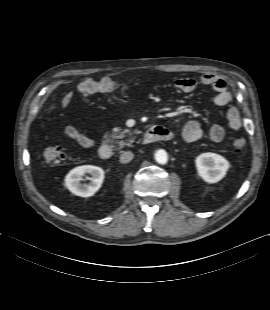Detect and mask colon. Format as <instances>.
<instances>
[{"label": "colon", "mask_w": 270, "mask_h": 310, "mask_svg": "<svg viewBox=\"0 0 270 310\" xmlns=\"http://www.w3.org/2000/svg\"><path fill=\"white\" fill-rule=\"evenodd\" d=\"M123 84L117 79H103L100 82H87L79 87L80 93L89 94L93 90L110 91L122 86ZM232 146L237 152H241L246 147V139L237 137L233 139ZM45 159L52 164H61L69 159L67 152L60 146L49 147L44 152Z\"/></svg>", "instance_id": "obj_1"}]
</instances>
